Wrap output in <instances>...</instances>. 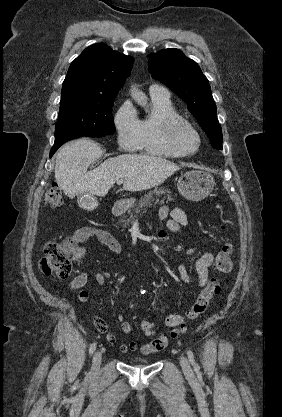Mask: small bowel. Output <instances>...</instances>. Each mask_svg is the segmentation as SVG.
I'll return each instance as SVG.
<instances>
[{
  "instance_id": "1",
  "label": "small bowel",
  "mask_w": 282,
  "mask_h": 417,
  "mask_svg": "<svg viewBox=\"0 0 282 417\" xmlns=\"http://www.w3.org/2000/svg\"><path fill=\"white\" fill-rule=\"evenodd\" d=\"M169 215L171 218L168 219ZM158 216L160 220L166 221V230L171 233H179L182 227L186 226L188 223L186 214L181 208L178 207L170 210L167 205H163L158 211ZM165 233V230L160 231L159 238H163ZM92 238L97 239L101 244L107 246L115 255H121L123 253V247L118 240H116L108 231L94 226H82L78 228L69 236L67 241L72 244H77ZM195 252L196 248L193 247L188 249L186 254L192 255ZM214 259L215 256L209 252L202 253L195 258L194 267L198 277V285L200 287H203L208 283L210 279L209 269L212 267ZM177 272L182 282L189 283L191 281L192 278L186 265L180 264L177 268ZM90 278H93L94 281L100 286H103L106 283V276L101 271L92 269L76 275L67 285V288L70 291L79 290L78 299L81 303L89 301V292L83 288ZM177 318H183V315L167 314L163 322L167 327L172 328V324L176 323ZM116 319L120 323L121 330L124 334L131 335L133 333V325L126 320L125 314L118 313L116 315ZM92 320L96 329L105 335L107 341L110 344H115L117 341L116 336L109 331L107 323L97 315H93ZM140 327L144 337L154 338V340L158 339L159 336L156 334V325L154 321L142 320L140 322ZM139 349L140 344L136 340H129L119 345V351L122 354L136 352Z\"/></svg>"
}]
</instances>
